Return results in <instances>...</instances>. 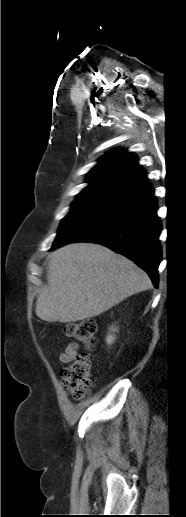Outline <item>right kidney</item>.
Here are the masks:
<instances>
[{
  "mask_svg": "<svg viewBox=\"0 0 186 517\" xmlns=\"http://www.w3.org/2000/svg\"><path fill=\"white\" fill-rule=\"evenodd\" d=\"M115 331H117V329L112 327V328H111V332H115ZM106 341H107V343H108V344H112V343H114V341H115V336H114V334H109V335L107 336V338H106Z\"/></svg>",
  "mask_w": 186,
  "mask_h": 517,
  "instance_id": "ca27d5eb",
  "label": "right kidney"
}]
</instances>
